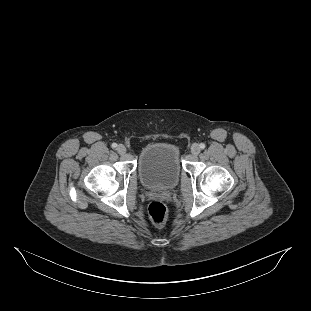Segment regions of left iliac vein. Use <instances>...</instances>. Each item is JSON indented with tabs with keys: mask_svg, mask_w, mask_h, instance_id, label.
I'll return each instance as SVG.
<instances>
[{
	"mask_svg": "<svg viewBox=\"0 0 311 311\" xmlns=\"http://www.w3.org/2000/svg\"><path fill=\"white\" fill-rule=\"evenodd\" d=\"M191 152L193 155H198L200 153V147L198 144L194 143L192 146H191Z\"/></svg>",
	"mask_w": 311,
	"mask_h": 311,
	"instance_id": "left-iliac-vein-1",
	"label": "left iliac vein"
}]
</instances>
